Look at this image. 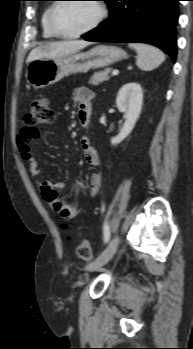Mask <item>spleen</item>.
I'll return each mask as SVG.
<instances>
[{
  "label": "spleen",
  "instance_id": "spleen-1",
  "mask_svg": "<svg viewBox=\"0 0 193 349\" xmlns=\"http://www.w3.org/2000/svg\"><path fill=\"white\" fill-rule=\"evenodd\" d=\"M129 47L137 52V66L143 71H151L165 61V54L158 48L143 44L129 43Z\"/></svg>",
  "mask_w": 193,
  "mask_h": 349
}]
</instances>
